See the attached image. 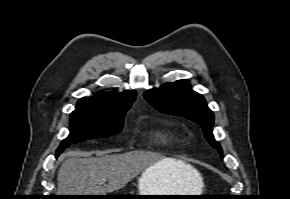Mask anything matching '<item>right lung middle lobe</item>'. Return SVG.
Listing matches in <instances>:
<instances>
[{"instance_id": "dd1d6c3e", "label": "right lung middle lobe", "mask_w": 290, "mask_h": 199, "mask_svg": "<svg viewBox=\"0 0 290 199\" xmlns=\"http://www.w3.org/2000/svg\"><path fill=\"white\" fill-rule=\"evenodd\" d=\"M124 115L125 112L97 114L73 111L70 115V134L59 145L56 157L71 144L93 138L109 137L121 132Z\"/></svg>"}]
</instances>
